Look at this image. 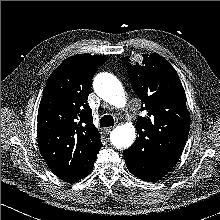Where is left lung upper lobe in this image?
<instances>
[{
  "label": "left lung upper lobe",
  "instance_id": "1",
  "mask_svg": "<svg viewBox=\"0 0 220 220\" xmlns=\"http://www.w3.org/2000/svg\"><path fill=\"white\" fill-rule=\"evenodd\" d=\"M141 65L127 66L131 86L142 102L133 146L139 156L156 157L175 165L184 149L190 126L186 95L175 69L157 53L143 54Z\"/></svg>",
  "mask_w": 220,
  "mask_h": 220
}]
</instances>
